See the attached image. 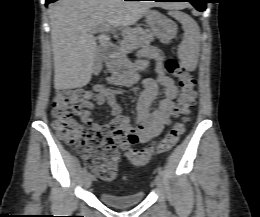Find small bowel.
Instances as JSON below:
<instances>
[{
  "mask_svg": "<svg viewBox=\"0 0 260 217\" xmlns=\"http://www.w3.org/2000/svg\"><path fill=\"white\" fill-rule=\"evenodd\" d=\"M141 55L156 61V79H146L142 82L136 104V122L131 123L130 118L123 113L122 106L116 101V95L121 91L116 88L107 87L104 84L94 86L93 91L98 95L99 102L106 101L111 107L113 118L109 123L101 124L93 122L90 110H94L93 104H87L75 110V113L85 122L96 129H101L114 140L120 141L127 137L131 145L147 143L156 138L171 122L174 101L178 94V87L172 77L167 75L163 69V59L155 49H145ZM140 80L138 72L132 73L128 78L122 79L117 76L108 78L109 83L114 85L130 86ZM159 87L163 89V96L152 108Z\"/></svg>",
  "mask_w": 260,
  "mask_h": 217,
  "instance_id": "small-bowel-1",
  "label": "small bowel"
}]
</instances>
